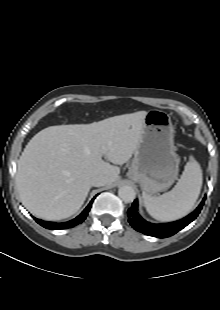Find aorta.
Listing matches in <instances>:
<instances>
[{"mask_svg":"<svg viewBox=\"0 0 220 310\" xmlns=\"http://www.w3.org/2000/svg\"><path fill=\"white\" fill-rule=\"evenodd\" d=\"M118 195L125 203H130L134 201L136 193L131 186H122L118 190Z\"/></svg>","mask_w":220,"mask_h":310,"instance_id":"762f6f07","label":"aorta"}]
</instances>
